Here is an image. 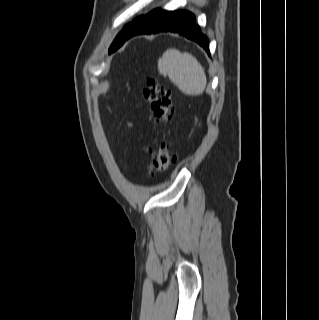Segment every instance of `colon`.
<instances>
[{"instance_id":"obj_1","label":"colon","mask_w":319,"mask_h":320,"mask_svg":"<svg viewBox=\"0 0 319 320\" xmlns=\"http://www.w3.org/2000/svg\"><path fill=\"white\" fill-rule=\"evenodd\" d=\"M143 96L150 104L154 121L160 126H166L174 118L171 93L161 86L155 79L147 81L143 88ZM150 155L151 173L166 171L173 161V152L167 139L162 138L156 145L146 147Z\"/></svg>"}]
</instances>
